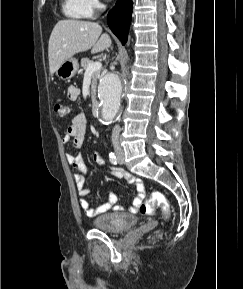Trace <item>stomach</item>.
<instances>
[{
  "label": "stomach",
  "instance_id": "stomach-1",
  "mask_svg": "<svg viewBox=\"0 0 243 289\" xmlns=\"http://www.w3.org/2000/svg\"><path fill=\"white\" fill-rule=\"evenodd\" d=\"M78 69V60L71 57L60 65V67L56 70V75L63 80H67L72 78L76 74Z\"/></svg>",
  "mask_w": 243,
  "mask_h": 289
}]
</instances>
